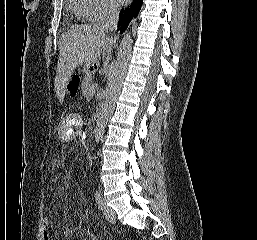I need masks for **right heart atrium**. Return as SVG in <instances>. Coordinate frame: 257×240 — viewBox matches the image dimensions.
I'll return each mask as SVG.
<instances>
[{
	"instance_id": "1",
	"label": "right heart atrium",
	"mask_w": 257,
	"mask_h": 240,
	"mask_svg": "<svg viewBox=\"0 0 257 240\" xmlns=\"http://www.w3.org/2000/svg\"><path fill=\"white\" fill-rule=\"evenodd\" d=\"M91 11V20L101 22L115 16L118 12V6L115 0H93Z\"/></svg>"
}]
</instances>
